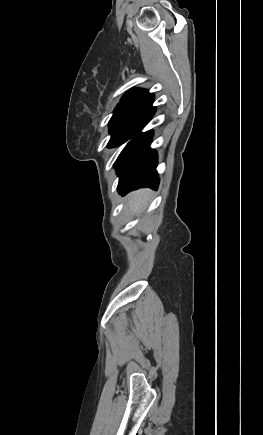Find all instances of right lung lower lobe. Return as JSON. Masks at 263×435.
Listing matches in <instances>:
<instances>
[{
	"mask_svg": "<svg viewBox=\"0 0 263 435\" xmlns=\"http://www.w3.org/2000/svg\"><path fill=\"white\" fill-rule=\"evenodd\" d=\"M149 103L131 126L125 141L126 145L114 166L120 176L118 191L123 195L140 187L157 189L159 185L157 167V153L150 149L153 132L141 133L142 128L154 115L156 108ZM124 141V142H125Z\"/></svg>",
	"mask_w": 263,
	"mask_h": 435,
	"instance_id": "98d812e1",
	"label": "right lung lower lobe"
}]
</instances>
